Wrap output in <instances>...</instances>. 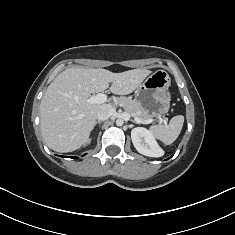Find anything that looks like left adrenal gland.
I'll return each mask as SVG.
<instances>
[{
	"label": "left adrenal gland",
	"mask_w": 235,
	"mask_h": 235,
	"mask_svg": "<svg viewBox=\"0 0 235 235\" xmlns=\"http://www.w3.org/2000/svg\"><path fill=\"white\" fill-rule=\"evenodd\" d=\"M133 123H136L134 120H131Z\"/></svg>",
	"instance_id": "obj_1"
}]
</instances>
